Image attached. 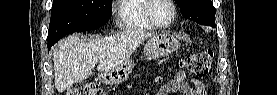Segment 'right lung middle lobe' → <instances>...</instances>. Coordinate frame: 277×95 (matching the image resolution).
Listing matches in <instances>:
<instances>
[{"instance_id": "1", "label": "right lung middle lobe", "mask_w": 277, "mask_h": 95, "mask_svg": "<svg viewBox=\"0 0 277 95\" xmlns=\"http://www.w3.org/2000/svg\"><path fill=\"white\" fill-rule=\"evenodd\" d=\"M112 0H54L48 43L65 35L103 26L111 16Z\"/></svg>"}]
</instances>
